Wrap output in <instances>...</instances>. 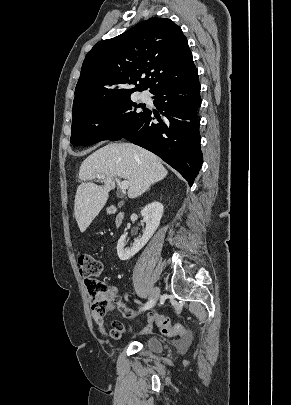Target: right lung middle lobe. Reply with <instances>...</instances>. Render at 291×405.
Here are the masks:
<instances>
[{
    "label": "right lung middle lobe",
    "mask_w": 291,
    "mask_h": 405,
    "mask_svg": "<svg viewBox=\"0 0 291 405\" xmlns=\"http://www.w3.org/2000/svg\"><path fill=\"white\" fill-rule=\"evenodd\" d=\"M130 96L96 103L73 113L71 143L89 146L102 140H120L144 118L148 109Z\"/></svg>",
    "instance_id": "right-lung-middle-lobe-1"
}]
</instances>
